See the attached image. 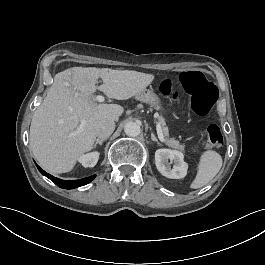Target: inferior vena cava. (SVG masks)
<instances>
[{"label":"inferior vena cava","mask_w":265,"mask_h":265,"mask_svg":"<svg viewBox=\"0 0 265 265\" xmlns=\"http://www.w3.org/2000/svg\"><path fill=\"white\" fill-rule=\"evenodd\" d=\"M114 129V121L104 120L96 127V136L101 139L107 138L113 133Z\"/></svg>","instance_id":"inferior-vena-cava-1"}]
</instances>
